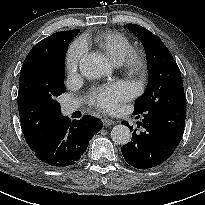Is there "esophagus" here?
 <instances>
[{
  "instance_id": "1",
  "label": "esophagus",
  "mask_w": 205,
  "mask_h": 205,
  "mask_svg": "<svg viewBox=\"0 0 205 205\" xmlns=\"http://www.w3.org/2000/svg\"><path fill=\"white\" fill-rule=\"evenodd\" d=\"M101 121H102V123H103V126H110V125H113L115 122L112 120V119H110V118H108V117H103L102 119H101Z\"/></svg>"
}]
</instances>
